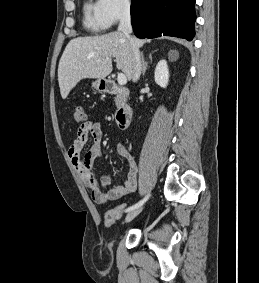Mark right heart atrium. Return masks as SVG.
I'll return each mask as SVG.
<instances>
[{"instance_id":"right-heart-atrium-1","label":"right heart atrium","mask_w":259,"mask_h":283,"mask_svg":"<svg viewBox=\"0 0 259 283\" xmlns=\"http://www.w3.org/2000/svg\"><path fill=\"white\" fill-rule=\"evenodd\" d=\"M97 5L107 27L115 26L133 12L131 0H98Z\"/></svg>"}]
</instances>
